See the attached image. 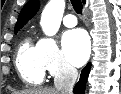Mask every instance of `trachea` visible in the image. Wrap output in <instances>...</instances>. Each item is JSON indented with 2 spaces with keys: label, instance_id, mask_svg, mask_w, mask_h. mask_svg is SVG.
Wrapping results in <instances>:
<instances>
[{
  "label": "trachea",
  "instance_id": "1",
  "mask_svg": "<svg viewBox=\"0 0 121 94\" xmlns=\"http://www.w3.org/2000/svg\"><path fill=\"white\" fill-rule=\"evenodd\" d=\"M71 3H72V6H73L75 12L78 14H81L82 9H83L81 0H71Z\"/></svg>",
  "mask_w": 121,
  "mask_h": 94
}]
</instances>
